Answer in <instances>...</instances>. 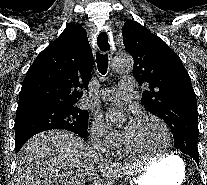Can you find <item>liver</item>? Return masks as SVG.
Instances as JSON below:
<instances>
[{
    "mask_svg": "<svg viewBox=\"0 0 207 185\" xmlns=\"http://www.w3.org/2000/svg\"><path fill=\"white\" fill-rule=\"evenodd\" d=\"M97 163L87 143L70 131H43L29 139L16 159V185H83Z\"/></svg>",
    "mask_w": 207,
    "mask_h": 185,
    "instance_id": "liver-1",
    "label": "liver"
}]
</instances>
